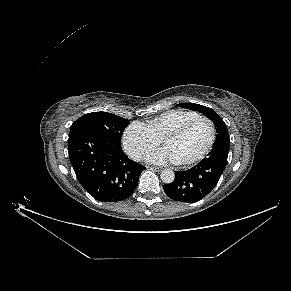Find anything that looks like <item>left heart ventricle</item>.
I'll list each match as a JSON object with an SVG mask.
<instances>
[{
	"label": "left heart ventricle",
	"instance_id": "1",
	"mask_svg": "<svg viewBox=\"0 0 291 291\" xmlns=\"http://www.w3.org/2000/svg\"><path fill=\"white\" fill-rule=\"evenodd\" d=\"M210 128L205 122H198L178 138L168 140L164 146L177 161H187L197 156L206 146Z\"/></svg>",
	"mask_w": 291,
	"mask_h": 291
}]
</instances>
